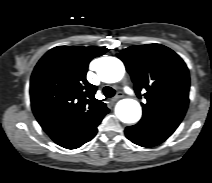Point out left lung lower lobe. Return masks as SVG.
I'll return each instance as SVG.
<instances>
[{
	"label": "left lung lower lobe",
	"instance_id": "obj_1",
	"mask_svg": "<svg viewBox=\"0 0 212 183\" xmlns=\"http://www.w3.org/2000/svg\"><path fill=\"white\" fill-rule=\"evenodd\" d=\"M176 128L147 119L125 129L127 138L142 147H152L165 141Z\"/></svg>",
	"mask_w": 212,
	"mask_h": 183
}]
</instances>
